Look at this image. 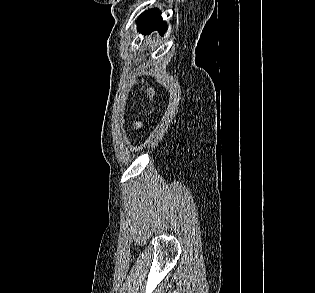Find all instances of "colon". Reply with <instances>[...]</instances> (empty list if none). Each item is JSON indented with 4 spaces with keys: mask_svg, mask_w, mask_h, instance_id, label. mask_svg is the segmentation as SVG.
Returning <instances> with one entry per match:
<instances>
[{
    "mask_svg": "<svg viewBox=\"0 0 315 293\" xmlns=\"http://www.w3.org/2000/svg\"><path fill=\"white\" fill-rule=\"evenodd\" d=\"M146 93H147L149 99L151 101H153L154 100V91H153V89L151 87H148L147 90H146ZM151 110H152L151 113H150L151 118H158V116L160 114V111H159L160 107H159V105H152ZM152 123H155V120H152Z\"/></svg>",
    "mask_w": 315,
    "mask_h": 293,
    "instance_id": "5ec220e1",
    "label": "colon"
}]
</instances>
